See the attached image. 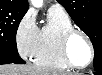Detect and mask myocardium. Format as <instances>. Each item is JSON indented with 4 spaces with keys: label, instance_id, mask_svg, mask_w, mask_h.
Wrapping results in <instances>:
<instances>
[{
    "label": "myocardium",
    "instance_id": "1",
    "mask_svg": "<svg viewBox=\"0 0 102 75\" xmlns=\"http://www.w3.org/2000/svg\"><path fill=\"white\" fill-rule=\"evenodd\" d=\"M76 35H81L86 40V42L89 46V60L83 65L76 64L73 61V59L70 55V51H69L70 42L73 39V37H75ZM59 46H60V52H61L62 58L65 60V62L69 66L84 68L91 62V60L93 58V53H94L93 43H92L91 39L89 38V36L84 31H82L78 28L73 27V28L69 29L68 31H66L60 39Z\"/></svg>",
    "mask_w": 102,
    "mask_h": 75
}]
</instances>
